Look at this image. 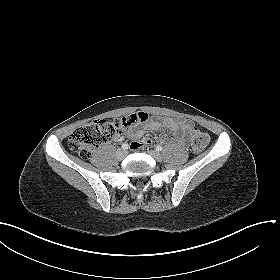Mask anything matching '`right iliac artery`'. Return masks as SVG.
I'll return each instance as SVG.
<instances>
[{
	"label": "right iliac artery",
	"instance_id": "right-iliac-artery-1",
	"mask_svg": "<svg viewBox=\"0 0 280 280\" xmlns=\"http://www.w3.org/2000/svg\"><path fill=\"white\" fill-rule=\"evenodd\" d=\"M122 148L124 149V150H126V149H128V144H122Z\"/></svg>",
	"mask_w": 280,
	"mask_h": 280
}]
</instances>
